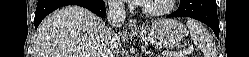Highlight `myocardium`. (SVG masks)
<instances>
[{"label": "myocardium", "instance_id": "1", "mask_svg": "<svg viewBox=\"0 0 249 57\" xmlns=\"http://www.w3.org/2000/svg\"><path fill=\"white\" fill-rule=\"evenodd\" d=\"M176 0H167V3L165 6L159 9L151 8L148 4L144 3L141 5L142 12L151 17H159L168 14L175 4Z\"/></svg>", "mask_w": 249, "mask_h": 57}]
</instances>
